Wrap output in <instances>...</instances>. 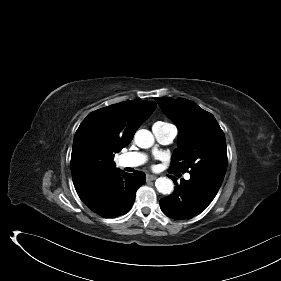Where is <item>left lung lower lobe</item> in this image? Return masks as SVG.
<instances>
[{
  "mask_svg": "<svg viewBox=\"0 0 281 281\" xmlns=\"http://www.w3.org/2000/svg\"><path fill=\"white\" fill-rule=\"evenodd\" d=\"M190 180L176 184L170 196L160 200L162 211L175 219H191L200 214L218 193L224 177L215 174H190Z\"/></svg>",
  "mask_w": 281,
  "mask_h": 281,
  "instance_id": "0a47b994",
  "label": "left lung lower lobe"
}]
</instances>
